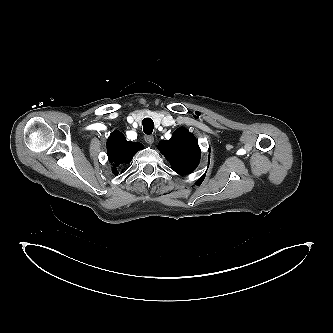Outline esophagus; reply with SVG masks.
Wrapping results in <instances>:
<instances>
[{"instance_id": "1", "label": "esophagus", "mask_w": 333, "mask_h": 333, "mask_svg": "<svg viewBox=\"0 0 333 333\" xmlns=\"http://www.w3.org/2000/svg\"><path fill=\"white\" fill-rule=\"evenodd\" d=\"M144 140L147 144L151 145L154 143V137L151 135H147L144 137Z\"/></svg>"}]
</instances>
